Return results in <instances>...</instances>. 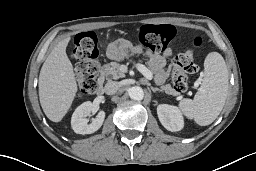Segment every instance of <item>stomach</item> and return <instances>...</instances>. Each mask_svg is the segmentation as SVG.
<instances>
[{
	"mask_svg": "<svg viewBox=\"0 0 256 171\" xmlns=\"http://www.w3.org/2000/svg\"><path fill=\"white\" fill-rule=\"evenodd\" d=\"M107 54H108V56L111 58V59H121L122 58V53L120 52V51H118V50H115V51H113V50H111L110 49V47L108 48V50H107Z\"/></svg>",
	"mask_w": 256,
	"mask_h": 171,
	"instance_id": "0dacf381",
	"label": "stomach"
}]
</instances>
